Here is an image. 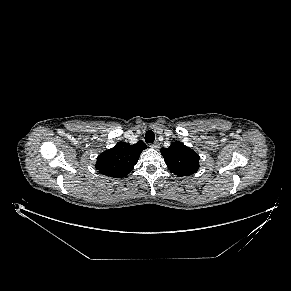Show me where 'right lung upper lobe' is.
Segmentation results:
<instances>
[{
  "instance_id": "1",
  "label": "right lung upper lobe",
  "mask_w": 291,
  "mask_h": 291,
  "mask_svg": "<svg viewBox=\"0 0 291 291\" xmlns=\"http://www.w3.org/2000/svg\"><path fill=\"white\" fill-rule=\"evenodd\" d=\"M146 148L142 140L134 145L118 142L115 147L98 156L95 167L103 175L114 178L124 177L132 171L141 152Z\"/></svg>"
}]
</instances>
